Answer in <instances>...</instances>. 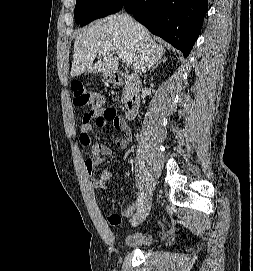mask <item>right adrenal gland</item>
I'll use <instances>...</instances> for the list:
<instances>
[{
  "label": "right adrenal gland",
  "instance_id": "obj_1",
  "mask_svg": "<svg viewBox=\"0 0 253 271\" xmlns=\"http://www.w3.org/2000/svg\"><path fill=\"white\" fill-rule=\"evenodd\" d=\"M159 62H160V63H161V62H165V58L161 59ZM156 66H157V64H155L154 66H152L151 69H154ZM151 69H149V70H151Z\"/></svg>",
  "mask_w": 253,
  "mask_h": 271
}]
</instances>
